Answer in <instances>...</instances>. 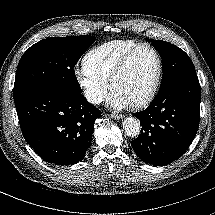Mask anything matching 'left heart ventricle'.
<instances>
[{"instance_id": "left-heart-ventricle-1", "label": "left heart ventricle", "mask_w": 215, "mask_h": 215, "mask_svg": "<svg viewBox=\"0 0 215 215\" xmlns=\"http://www.w3.org/2000/svg\"><path fill=\"white\" fill-rule=\"evenodd\" d=\"M156 70L157 60L153 51L147 47L138 49L116 80L112 93L121 96L128 104L139 101L147 93Z\"/></svg>"}]
</instances>
